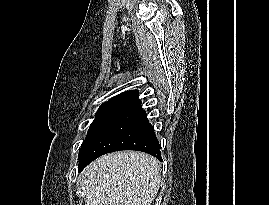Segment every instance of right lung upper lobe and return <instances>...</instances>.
I'll return each mask as SVG.
<instances>
[{
	"label": "right lung upper lobe",
	"mask_w": 269,
	"mask_h": 205,
	"mask_svg": "<svg viewBox=\"0 0 269 205\" xmlns=\"http://www.w3.org/2000/svg\"><path fill=\"white\" fill-rule=\"evenodd\" d=\"M139 104H141V101L138 99V90H130L111 98L101 106L123 107L128 109Z\"/></svg>",
	"instance_id": "obj_1"
}]
</instances>
